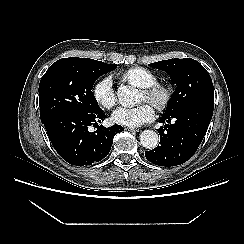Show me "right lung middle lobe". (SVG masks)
<instances>
[{
	"mask_svg": "<svg viewBox=\"0 0 244 244\" xmlns=\"http://www.w3.org/2000/svg\"><path fill=\"white\" fill-rule=\"evenodd\" d=\"M117 65L89 58H63L52 64L39 85L41 121L59 113L102 111L92 93L96 79Z\"/></svg>",
	"mask_w": 244,
	"mask_h": 244,
	"instance_id": "right-lung-middle-lobe-1",
	"label": "right lung middle lobe"
}]
</instances>
